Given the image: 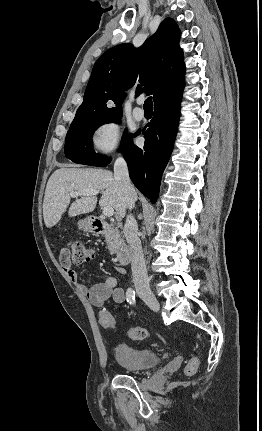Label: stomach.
Masks as SVG:
<instances>
[{"instance_id":"0dacf381","label":"stomach","mask_w":262,"mask_h":431,"mask_svg":"<svg viewBox=\"0 0 262 431\" xmlns=\"http://www.w3.org/2000/svg\"><path fill=\"white\" fill-rule=\"evenodd\" d=\"M78 228L85 232H93L95 230L93 226V220L91 217H87L78 222Z\"/></svg>"}]
</instances>
